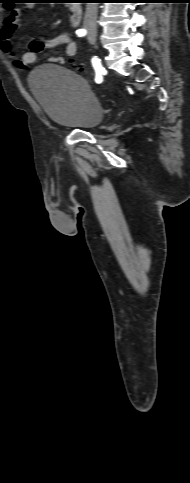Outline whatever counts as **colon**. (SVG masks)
Returning <instances> with one entry per match:
<instances>
[{"instance_id": "obj_1", "label": "colon", "mask_w": 190, "mask_h": 483, "mask_svg": "<svg viewBox=\"0 0 190 483\" xmlns=\"http://www.w3.org/2000/svg\"><path fill=\"white\" fill-rule=\"evenodd\" d=\"M79 69H81L82 67L81 66H78Z\"/></svg>"}]
</instances>
